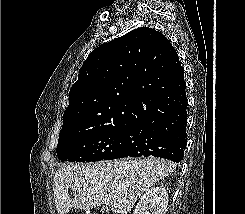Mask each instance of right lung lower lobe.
I'll list each match as a JSON object with an SVG mask.
<instances>
[{
	"instance_id": "98d812e1",
	"label": "right lung lower lobe",
	"mask_w": 245,
	"mask_h": 214,
	"mask_svg": "<svg viewBox=\"0 0 245 214\" xmlns=\"http://www.w3.org/2000/svg\"><path fill=\"white\" fill-rule=\"evenodd\" d=\"M168 85L145 102L132 118L117 158L154 156L180 162L187 143V97L177 53L168 69ZM116 159V158H115Z\"/></svg>"
}]
</instances>
